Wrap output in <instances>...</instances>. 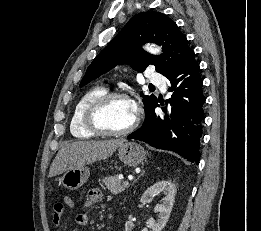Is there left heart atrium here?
I'll use <instances>...</instances> for the list:
<instances>
[{
  "label": "left heart atrium",
  "mask_w": 261,
  "mask_h": 231,
  "mask_svg": "<svg viewBox=\"0 0 261 231\" xmlns=\"http://www.w3.org/2000/svg\"><path fill=\"white\" fill-rule=\"evenodd\" d=\"M134 109L136 110V103L132 102Z\"/></svg>",
  "instance_id": "39dd6f15"
}]
</instances>
